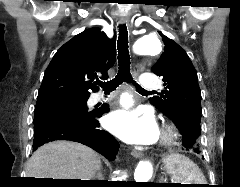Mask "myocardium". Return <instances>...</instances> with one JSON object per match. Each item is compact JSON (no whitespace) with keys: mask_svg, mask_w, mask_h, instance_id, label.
Listing matches in <instances>:
<instances>
[{"mask_svg":"<svg viewBox=\"0 0 240 187\" xmlns=\"http://www.w3.org/2000/svg\"><path fill=\"white\" fill-rule=\"evenodd\" d=\"M177 128L173 124H167L164 126L161 134V144L170 145L177 137Z\"/></svg>","mask_w":240,"mask_h":187,"instance_id":"obj_1","label":"myocardium"}]
</instances>
